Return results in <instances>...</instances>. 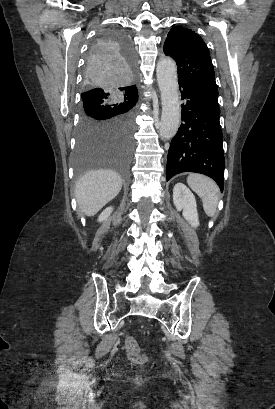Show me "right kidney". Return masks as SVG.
<instances>
[{"label": "right kidney", "instance_id": "ca27d5eb", "mask_svg": "<svg viewBox=\"0 0 275 409\" xmlns=\"http://www.w3.org/2000/svg\"><path fill=\"white\" fill-rule=\"evenodd\" d=\"M112 211H113V207H107V209H105V211H103V213H101V215H99V217H98L99 223H102V221H107V219H108V217H110Z\"/></svg>", "mask_w": 275, "mask_h": 409}]
</instances>
